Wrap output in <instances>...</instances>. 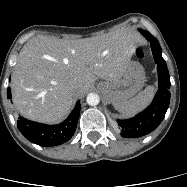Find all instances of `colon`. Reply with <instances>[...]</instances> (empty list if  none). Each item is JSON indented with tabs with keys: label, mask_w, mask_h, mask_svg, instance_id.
Returning <instances> with one entry per match:
<instances>
[{
	"label": "colon",
	"mask_w": 187,
	"mask_h": 187,
	"mask_svg": "<svg viewBox=\"0 0 187 187\" xmlns=\"http://www.w3.org/2000/svg\"><path fill=\"white\" fill-rule=\"evenodd\" d=\"M136 56H137L138 58H143V57H144V52H143V50L138 49V50L136 51Z\"/></svg>",
	"instance_id": "5ec220e1"
}]
</instances>
